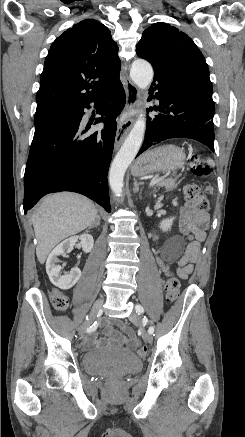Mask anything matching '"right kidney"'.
<instances>
[{"instance_id":"obj_1","label":"right kidney","mask_w":245,"mask_h":437,"mask_svg":"<svg viewBox=\"0 0 245 437\" xmlns=\"http://www.w3.org/2000/svg\"><path fill=\"white\" fill-rule=\"evenodd\" d=\"M80 241L82 249L85 253H89L94 245L93 237L90 234H82L80 236H72L58 246L49 254L46 262V272L50 281L56 287L62 290H68L72 288L81 276V270L78 267H74L67 275H61L62 267L57 265L58 256L66 252H71L76 242Z\"/></svg>"}]
</instances>
